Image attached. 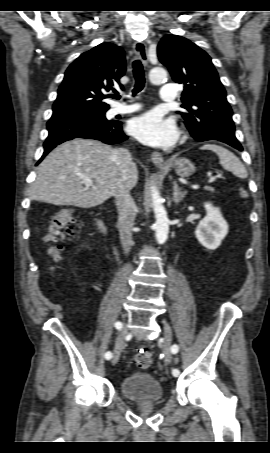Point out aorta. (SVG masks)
Masks as SVG:
<instances>
[{
	"label": "aorta",
	"instance_id": "762f6f07",
	"mask_svg": "<svg viewBox=\"0 0 270 453\" xmlns=\"http://www.w3.org/2000/svg\"><path fill=\"white\" fill-rule=\"evenodd\" d=\"M167 77V72L162 67H155L149 73L150 81L154 84L163 82ZM153 211L155 214V236L159 244L166 242L169 233V219L167 212L162 205L161 196L155 186L151 188Z\"/></svg>",
	"mask_w": 270,
	"mask_h": 453
}]
</instances>
